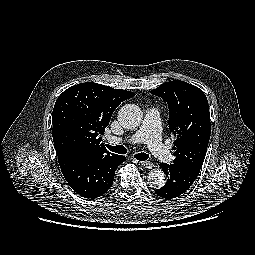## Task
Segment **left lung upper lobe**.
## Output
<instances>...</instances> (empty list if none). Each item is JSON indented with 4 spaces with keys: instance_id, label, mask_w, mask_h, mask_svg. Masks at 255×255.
I'll return each instance as SVG.
<instances>
[{
    "instance_id": "5c2ea615",
    "label": "left lung upper lobe",
    "mask_w": 255,
    "mask_h": 255,
    "mask_svg": "<svg viewBox=\"0 0 255 255\" xmlns=\"http://www.w3.org/2000/svg\"><path fill=\"white\" fill-rule=\"evenodd\" d=\"M169 107V128L176 137L174 164L199 174L211 133L208 100L201 89L184 81H170L151 91Z\"/></svg>"
}]
</instances>
